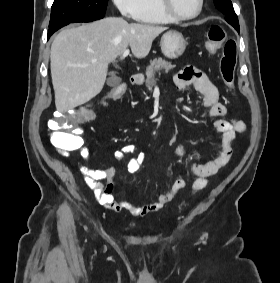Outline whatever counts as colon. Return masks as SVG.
Here are the masks:
<instances>
[{
  "label": "colon",
  "mask_w": 280,
  "mask_h": 283,
  "mask_svg": "<svg viewBox=\"0 0 280 283\" xmlns=\"http://www.w3.org/2000/svg\"><path fill=\"white\" fill-rule=\"evenodd\" d=\"M221 46H223L222 56L220 58V76L227 87L233 89L237 44L233 39H226L224 29L219 25H213L209 28L206 40V50L213 54ZM110 98L118 99L126 92V87L116 86L107 87ZM97 119L95 111L78 107L77 110H56V114H52V119L48 121L50 130V140L52 145L61 152L68 153L77 150L81 144V138L74 132H78V127L72 125L79 124L82 120L84 124L88 120ZM67 125V127H64ZM80 132L84 131L83 127L79 128Z\"/></svg>",
  "instance_id": "1"
}]
</instances>
